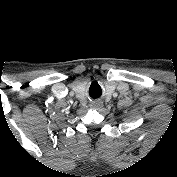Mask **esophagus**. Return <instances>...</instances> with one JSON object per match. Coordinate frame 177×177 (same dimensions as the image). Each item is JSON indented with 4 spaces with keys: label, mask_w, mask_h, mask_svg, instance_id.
Instances as JSON below:
<instances>
[{
    "label": "esophagus",
    "mask_w": 177,
    "mask_h": 177,
    "mask_svg": "<svg viewBox=\"0 0 177 177\" xmlns=\"http://www.w3.org/2000/svg\"><path fill=\"white\" fill-rule=\"evenodd\" d=\"M101 105H102V102L94 101V102H92L91 107L92 108H97V107H99Z\"/></svg>",
    "instance_id": "34e87169"
}]
</instances>
